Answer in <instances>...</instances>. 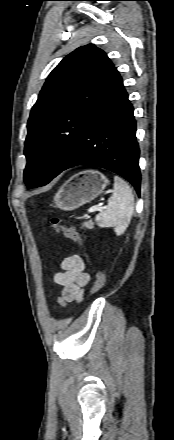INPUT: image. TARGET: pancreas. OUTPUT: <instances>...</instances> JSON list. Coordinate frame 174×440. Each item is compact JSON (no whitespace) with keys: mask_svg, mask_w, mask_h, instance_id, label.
<instances>
[{"mask_svg":"<svg viewBox=\"0 0 174 440\" xmlns=\"http://www.w3.org/2000/svg\"><path fill=\"white\" fill-rule=\"evenodd\" d=\"M82 227H86L88 229H93L94 228V223H93V221L89 220V221L84 222L82 224Z\"/></svg>","mask_w":174,"mask_h":440,"instance_id":"1","label":"pancreas"}]
</instances>
